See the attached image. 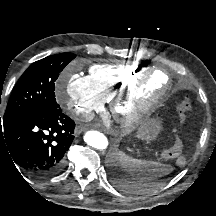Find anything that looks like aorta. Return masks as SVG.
Returning a JSON list of instances; mask_svg holds the SVG:
<instances>
[{
	"instance_id": "obj_1",
	"label": "aorta",
	"mask_w": 216,
	"mask_h": 216,
	"mask_svg": "<svg viewBox=\"0 0 216 216\" xmlns=\"http://www.w3.org/2000/svg\"><path fill=\"white\" fill-rule=\"evenodd\" d=\"M84 141L91 147L103 150L108 147L107 137L99 131H88L84 135Z\"/></svg>"
}]
</instances>
